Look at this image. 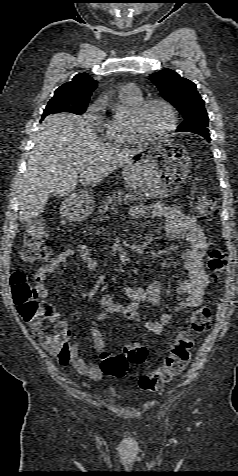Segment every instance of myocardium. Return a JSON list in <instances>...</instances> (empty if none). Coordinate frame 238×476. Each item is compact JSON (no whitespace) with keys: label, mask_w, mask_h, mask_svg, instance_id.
Here are the masks:
<instances>
[{"label":"myocardium","mask_w":238,"mask_h":476,"mask_svg":"<svg viewBox=\"0 0 238 476\" xmlns=\"http://www.w3.org/2000/svg\"><path fill=\"white\" fill-rule=\"evenodd\" d=\"M152 104H161L164 106L170 116V122L168 127L161 132L160 134L151 135L143 130L141 127V117L145 110ZM177 126V113L173 105L163 98H147L142 100L136 108L132 111L129 116V127L133 135L136 137L137 141L146 142V141H155L161 140L169 136Z\"/></svg>","instance_id":"myocardium-1"}]
</instances>
